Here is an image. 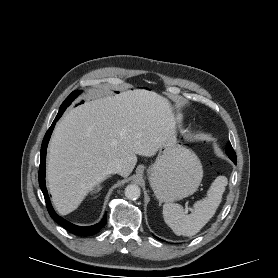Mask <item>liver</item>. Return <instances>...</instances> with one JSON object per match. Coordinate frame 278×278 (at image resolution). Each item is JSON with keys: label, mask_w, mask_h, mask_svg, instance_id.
<instances>
[{"label": "liver", "mask_w": 278, "mask_h": 278, "mask_svg": "<svg viewBox=\"0 0 278 278\" xmlns=\"http://www.w3.org/2000/svg\"><path fill=\"white\" fill-rule=\"evenodd\" d=\"M174 131L169 101L145 89L73 108L59 121L49 144L46 179L55 208L62 215L77 209L107 177L111 161H121L119 174L129 176L136 155H155Z\"/></svg>", "instance_id": "1"}]
</instances>
